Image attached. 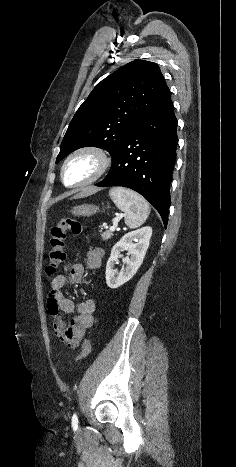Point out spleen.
Listing matches in <instances>:
<instances>
[{
    "mask_svg": "<svg viewBox=\"0 0 236 467\" xmlns=\"http://www.w3.org/2000/svg\"><path fill=\"white\" fill-rule=\"evenodd\" d=\"M109 195L115 205L124 212L129 228L141 226L150 213L148 202L138 193L122 187L112 188Z\"/></svg>",
    "mask_w": 236,
    "mask_h": 467,
    "instance_id": "1",
    "label": "spleen"
}]
</instances>
